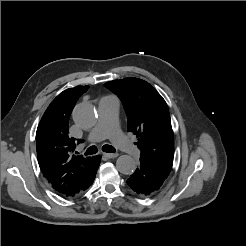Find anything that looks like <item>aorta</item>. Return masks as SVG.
Returning a JSON list of instances; mask_svg holds the SVG:
<instances>
[{
  "label": "aorta",
  "instance_id": "762f6f07",
  "mask_svg": "<svg viewBox=\"0 0 246 246\" xmlns=\"http://www.w3.org/2000/svg\"><path fill=\"white\" fill-rule=\"evenodd\" d=\"M73 120L81 128L93 127L97 121V112L90 103H80L73 110ZM117 170L122 174H132L136 169L134 158L129 155H121L116 161Z\"/></svg>",
  "mask_w": 246,
  "mask_h": 246
}]
</instances>
